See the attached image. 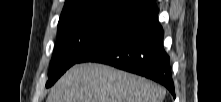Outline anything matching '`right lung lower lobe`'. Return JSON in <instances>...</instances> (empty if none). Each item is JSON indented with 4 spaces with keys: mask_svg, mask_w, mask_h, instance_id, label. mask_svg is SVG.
Listing matches in <instances>:
<instances>
[{
    "mask_svg": "<svg viewBox=\"0 0 221 102\" xmlns=\"http://www.w3.org/2000/svg\"><path fill=\"white\" fill-rule=\"evenodd\" d=\"M156 4L96 45L78 62H99L152 79L175 97L170 58Z\"/></svg>",
    "mask_w": 221,
    "mask_h": 102,
    "instance_id": "obj_1",
    "label": "right lung lower lobe"
}]
</instances>
